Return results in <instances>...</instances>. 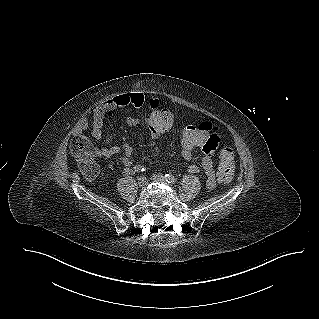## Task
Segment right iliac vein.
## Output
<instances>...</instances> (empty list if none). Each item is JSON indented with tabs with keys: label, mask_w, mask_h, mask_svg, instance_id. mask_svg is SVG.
<instances>
[{
	"label": "right iliac vein",
	"mask_w": 319,
	"mask_h": 319,
	"mask_svg": "<svg viewBox=\"0 0 319 319\" xmlns=\"http://www.w3.org/2000/svg\"><path fill=\"white\" fill-rule=\"evenodd\" d=\"M137 184L139 187H144L147 184V178L145 176H141L137 180Z\"/></svg>",
	"instance_id": "1"
}]
</instances>
